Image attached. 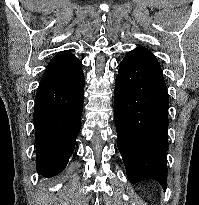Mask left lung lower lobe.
Instances as JSON below:
<instances>
[{
    "label": "left lung lower lobe",
    "mask_w": 199,
    "mask_h": 205,
    "mask_svg": "<svg viewBox=\"0 0 199 205\" xmlns=\"http://www.w3.org/2000/svg\"><path fill=\"white\" fill-rule=\"evenodd\" d=\"M169 98L160 64L138 47L119 64L114 117L127 177L134 184L154 179L167 188Z\"/></svg>",
    "instance_id": "1"
}]
</instances>
